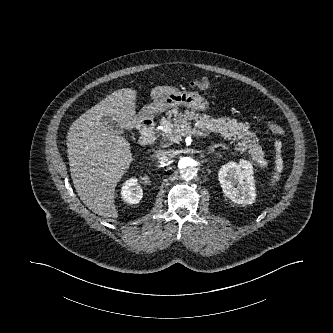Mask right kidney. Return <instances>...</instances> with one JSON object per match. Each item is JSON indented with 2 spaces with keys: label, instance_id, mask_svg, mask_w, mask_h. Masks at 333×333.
<instances>
[{
  "label": "right kidney",
  "instance_id": "right-kidney-1",
  "mask_svg": "<svg viewBox=\"0 0 333 333\" xmlns=\"http://www.w3.org/2000/svg\"><path fill=\"white\" fill-rule=\"evenodd\" d=\"M122 199L128 204H137L143 197V191L137 179H129L121 190Z\"/></svg>",
  "mask_w": 333,
  "mask_h": 333
}]
</instances>
